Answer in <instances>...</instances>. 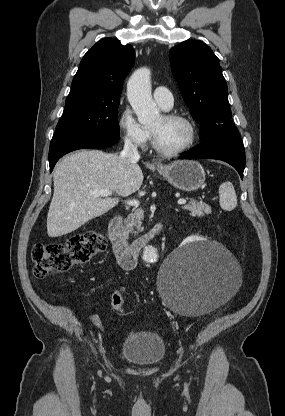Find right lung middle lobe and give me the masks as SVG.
I'll use <instances>...</instances> for the list:
<instances>
[{
	"label": "right lung middle lobe",
	"instance_id": "right-lung-middle-lobe-1",
	"mask_svg": "<svg viewBox=\"0 0 285 416\" xmlns=\"http://www.w3.org/2000/svg\"><path fill=\"white\" fill-rule=\"evenodd\" d=\"M118 106L119 98L83 100L67 97L65 111L58 121L55 134L119 135Z\"/></svg>",
	"mask_w": 285,
	"mask_h": 416
}]
</instances>
